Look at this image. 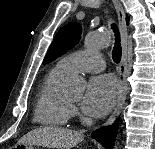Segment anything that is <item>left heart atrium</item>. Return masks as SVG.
<instances>
[{
	"label": "left heart atrium",
	"mask_w": 155,
	"mask_h": 149,
	"mask_svg": "<svg viewBox=\"0 0 155 149\" xmlns=\"http://www.w3.org/2000/svg\"><path fill=\"white\" fill-rule=\"evenodd\" d=\"M119 94V86L111 75H99L90 80L82 102L84 111L102 117L114 106Z\"/></svg>",
	"instance_id": "left-heart-atrium-1"
}]
</instances>
